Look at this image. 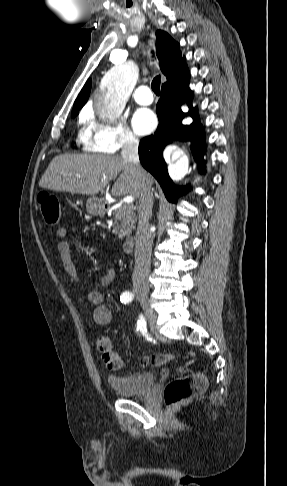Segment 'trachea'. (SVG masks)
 Masks as SVG:
<instances>
[{
	"mask_svg": "<svg viewBox=\"0 0 287 486\" xmlns=\"http://www.w3.org/2000/svg\"><path fill=\"white\" fill-rule=\"evenodd\" d=\"M160 75L156 76L152 83H151V87H152V90L155 94H159L160 93Z\"/></svg>",
	"mask_w": 287,
	"mask_h": 486,
	"instance_id": "trachea-1",
	"label": "trachea"
}]
</instances>
